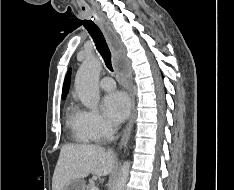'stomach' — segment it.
<instances>
[{
  "label": "stomach",
  "instance_id": "0dacf381",
  "mask_svg": "<svg viewBox=\"0 0 234 190\" xmlns=\"http://www.w3.org/2000/svg\"><path fill=\"white\" fill-rule=\"evenodd\" d=\"M63 190H85V181L83 179H73L65 185Z\"/></svg>",
  "mask_w": 234,
  "mask_h": 190
}]
</instances>
